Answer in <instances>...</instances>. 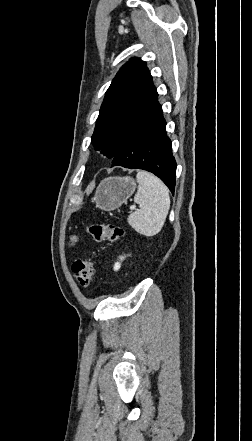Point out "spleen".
<instances>
[{"label": "spleen", "instance_id": "obj_1", "mask_svg": "<svg viewBox=\"0 0 252 441\" xmlns=\"http://www.w3.org/2000/svg\"><path fill=\"white\" fill-rule=\"evenodd\" d=\"M138 189L134 196V202L140 205V209L128 216L129 225L144 236L158 234L166 220L170 197L166 185L153 174L146 171H138Z\"/></svg>", "mask_w": 252, "mask_h": 441}]
</instances>
